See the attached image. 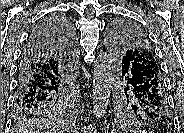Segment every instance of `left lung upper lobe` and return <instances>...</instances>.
Here are the masks:
<instances>
[{"label": "left lung upper lobe", "instance_id": "5c2ea615", "mask_svg": "<svg viewBox=\"0 0 184 133\" xmlns=\"http://www.w3.org/2000/svg\"><path fill=\"white\" fill-rule=\"evenodd\" d=\"M109 42L117 72L114 95L116 112L120 116H127L136 121H145L147 113L141 100L135 96L129 80L136 70L162 80L161 68L154 50L144 31L128 20H117L111 24ZM166 108L169 109L167 98Z\"/></svg>", "mask_w": 184, "mask_h": 133}]
</instances>
